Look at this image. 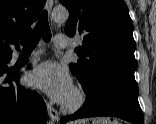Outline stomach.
<instances>
[{
    "label": "stomach",
    "instance_id": "0dacf381",
    "mask_svg": "<svg viewBox=\"0 0 156 124\" xmlns=\"http://www.w3.org/2000/svg\"><path fill=\"white\" fill-rule=\"evenodd\" d=\"M92 124H101V121H93Z\"/></svg>",
    "mask_w": 156,
    "mask_h": 124
}]
</instances>
